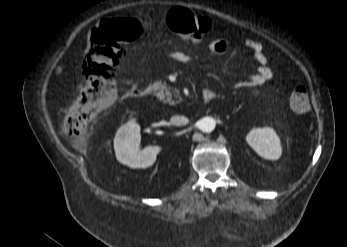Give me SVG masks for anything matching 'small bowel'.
<instances>
[{
    "label": "small bowel",
    "instance_id": "obj_1",
    "mask_svg": "<svg viewBox=\"0 0 347 247\" xmlns=\"http://www.w3.org/2000/svg\"><path fill=\"white\" fill-rule=\"evenodd\" d=\"M245 47L253 56V59L257 65V72L252 75L248 81L243 82L241 85L247 87L263 85L273 76V71L268 64V58L265 54L263 45L258 41L248 39L245 41ZM208 49L211 55H221L227 51L228 43L224 38H214L209 43ZM169 56L172 60L179 63H189L194 60V57L183 51H174L170 53Z\"/></svg>",
    "mask_w": 347,
    "mask_h": 247
}]
</instances>
